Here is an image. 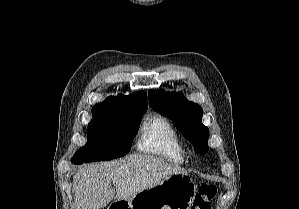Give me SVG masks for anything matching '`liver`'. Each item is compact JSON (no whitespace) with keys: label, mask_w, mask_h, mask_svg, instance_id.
I'll use <instances>...</instances> for the list:
<instances>
[{"label":"liver","mask_w":299,"mask_h":209,"mask_svg":"<svg viewBox=\"0 0 299 209\" xmlns=\"http://www.w3.org/2000/svg\"><path fill=\"white\" fill-rule=\"evenodd\" d=\"M172 174H186V171L160 158L142 154L87 165L73 178L74 209H101L113 199L132 198Z\"/></svg>","instance_id":"obj_1"}]
</instances>
